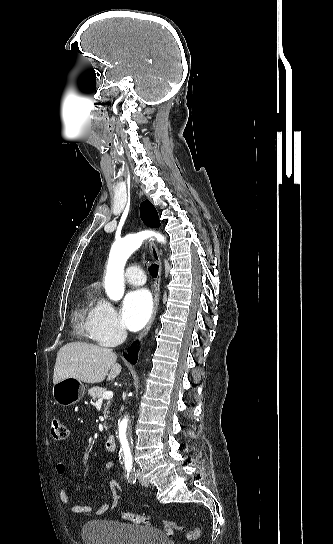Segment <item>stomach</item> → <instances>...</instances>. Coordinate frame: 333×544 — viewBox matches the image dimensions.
<instances>
[{"mask_svg":"<svg viewBox=\"0 0 333 544\" xmlns=\"http://www.w3.org/2000/svg\"><path fill=\"white\" fill-rule=\"evenodd\" d=\"M85 386L75 378H65L53 386V398L61 406H70L82 399Z\"/></svg>","mask_w":333,"mask_h":544,"instance_id":"stomach-1","label":"stomach"}]
</instances>
